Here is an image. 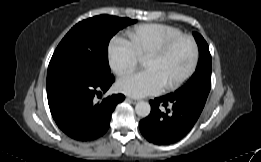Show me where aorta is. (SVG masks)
<instances>
[{
  "instance_id": "obj_1",
  "label": "aorta",
  "mask_w": 261,
  "mask_h": 162,
  "mask_svg": "<svg viewBox=\"0 0 261 162\" xmlns=\"http://www.w3.org/2000/svg\"><path fill=\"white\" fill-rule=\"evenodd\" d=\"M135 111L139 117L145 118L150 114L151 111L150 104L145 101H139L135 106Z\"/></svg>"
}]
</instances>
